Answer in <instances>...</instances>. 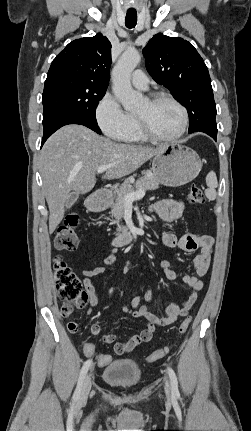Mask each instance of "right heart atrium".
<instances>
[{
    "instance_id": "1",
    "label": "right heart atrium",
    "mask_w": 251,
    "mask_h": 431,
    "mask_svg": "<svg viewBox=\"0 0 251 431\" xmlns=\"http://www.w3.org/2000/svg\"><path fill=\"white\" fill-rule=\"evenodd\" d=\"M95 118L100 129L113 139H121L132 124L131 115L122 108L110 92H106L98 101Z\"/></svg>"
}]
</instances>
